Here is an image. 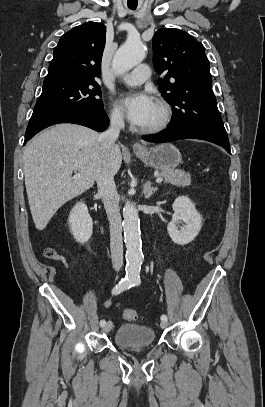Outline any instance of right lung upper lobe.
Returning a JSON list of instances; mask_svg holds the SVG:
<instances>
[{
	"instance_id": "cb5924a9",
	"label": "right lung upper lobe",
	"mask_w": 265,
	"mask_h": 407,
	"mask_svg": "<svg viewBox=\"0 0 265 407\" xmlns=\"http://www.w3.org/2000/svg\"><path fill=\"white\" fill-rule=\"evenodd\" d=\"M105 36V25L96 22H87L68 31L53 51L46 78H99Z\"/></svg>"
}]
</instances>
